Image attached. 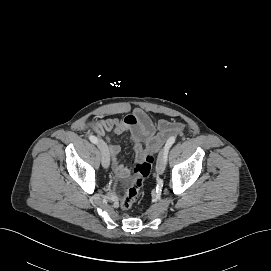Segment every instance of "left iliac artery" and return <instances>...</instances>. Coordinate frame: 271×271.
Instances as JSON below:
<instances>
[{
	"mask_svg": "<svg viewBox=\"0 0 271 271\" xmlns=\"http://www.w3.org/2000/svg\"><path fill=\"white\" fill-rule=\"evenodd\" d=\"M175 140H176L175 137H170V138L167 140L166 144H165L164 149H165L166 159H167L168 151H169L170 147L174 144Z\"/></svg>",
	"mask_w": 271,
	"mask_h": 271,
	"instance_id": "44dca946",
	"label": "left iliac artery"
}]
</instances>
